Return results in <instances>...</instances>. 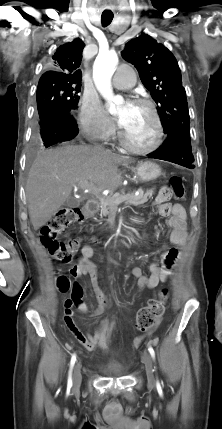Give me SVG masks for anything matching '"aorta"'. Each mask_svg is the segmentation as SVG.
I'll list each match as a JSON object with an SVG mask.
<instances>
[{"label": "aorta", "mask_w": 222, "mask_h": 429, "mask_svg": "<svg viewBox=\"0 0 222 429\" xmlns=\"http://www.w3.org/2000/svg\"><path fill=\"white\" fill-rule=\"evenodd\" d=\"M118 56L115 51L99 52L96 57L93 77L98 91L110 104L109 111L115 112L116 104L122 102L120 96H114L111 87V77L115 72Z\"/></svg>", "instance_id": "aorta-1"}]
</instances>
